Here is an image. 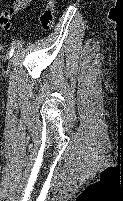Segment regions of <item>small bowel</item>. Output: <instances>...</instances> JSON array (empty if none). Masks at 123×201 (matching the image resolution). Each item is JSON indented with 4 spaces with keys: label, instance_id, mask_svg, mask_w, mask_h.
Masks as SVG:
<instances>
[{
    "label": "small bowel",
    "instance_id": "obj_1",
    "mask_svg": "<svg viewBox=\"0 0 123 201\" xmlns=\"http://www.w3.org/2000/svg\"><path fill=\"white\" fill-rule=\"evenodd\" d=\"M32 0H14L11 7L6 10H0V27L8 29L11 20L20 14Z\"/></svg>",
    "mask_w": 123,
    "mask_h": 201
}]
</instances>
